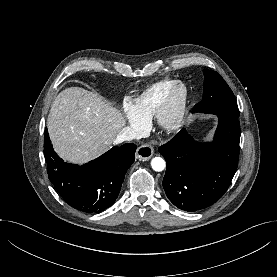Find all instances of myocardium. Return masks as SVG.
I'll return each instance as SVG.
<instances>
[{
	"mask_svg": "<svg viewBox=\"0 0 277 277\" xmlns=\"http://www.w3.org/2000/svg\"><path fill=\"white\" fill-rule=\"evenodd\" d=\"M187 102L188 89L186 85L176 81L169 88L154 114L157 127L163 132L178 130L185 120Z\"/></svg>",
	"mask_w": 277,
	"mask_h": 277,
	"instance_id": "1",
	"label": "myocardium"
}]
</instances>
